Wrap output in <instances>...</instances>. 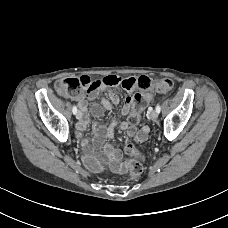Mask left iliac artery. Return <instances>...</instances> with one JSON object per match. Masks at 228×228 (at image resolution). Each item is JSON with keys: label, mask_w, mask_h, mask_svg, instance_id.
I'll list each match as a JSON object with an SVG mask.
<instances>
[{"label": "left iliac artery", "mask_w": 228, "mask_h": 228, "mask_svg": "<svg viewBox=\"0 0 228 228\" xmlns=\"http://www.w3.org/2000/svg\"><path fill=\"white\" fill-rule=\"evenodd\" d=\"M156 111H157L158 113H160V111H161V107H160L159 104L156 106Z\"/></svg>", "instance_id": "obj_1"}]
</instances>
